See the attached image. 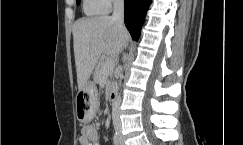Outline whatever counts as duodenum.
<instances>
[{
  "label": "duodenum",
  "mask_w": 243,
  "mask_h": 145,
  "mask_svg": "<svg viewBox=\"0 0 243 145\" xmlns=\"http://www.w3.org/2000/svg\"><path fill=\"white\" fill-rule=\"evenodd\" d=\"M116 87L115 86H111L109 88V92H108V101L113 104L116 100Z\"/></svg>",
  "instance_id": "410a0bca"
}]
</instances>
